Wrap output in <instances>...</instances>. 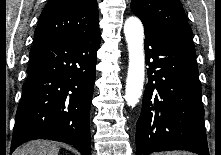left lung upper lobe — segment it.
Returning <instances> with one entry per match:
<instances>
[{"mask_svg": "<svg viewBox=\"0 0 221 155\" xmlns=\"http://www.w3.org/2000/svg\"><path fill=\"white\" fill-rule=\"evenodd\" d=\"M131 10L144 26L193 45L191 28L179 0H132Z\"/></svg>", "mask_w": 221, "mask_h": 155, "instance_id": "5c2ea615", "label": "left lung upper lobe"}]
</instances>
